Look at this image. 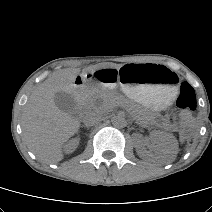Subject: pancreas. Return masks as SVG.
Returning <instances> with one entry per match:
<instances>
[{
	"mask_svg": "<svg viewBox=\"0 0 212 212\" xmlns=\"http://www.w3.org/2000/svg\"><path fill=\"white\" fill-rule=\"evenodd\" d=\"M97 98L103 100L102 108L104 110L108 111L120 105L128 109L139 123H149L153 121V116L147 110L111 92H104L101 94L90 92L87 95L84 105L88 108L92 107Z\"/></svg>",
	"mask_w": 212,
	"mask_h": 212,
	"instance_id": "pancreas-1",
	"label": "pancreas"
}]
</instances>
